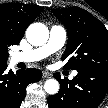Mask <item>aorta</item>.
I'll use <instances>...</instances> for the list:
<instances>
[{"instance_id":"762f6f07","label":"aorta","mask_w":108,"mask_h":108,"mask_svg":"<svg viewBox=\"0 0 108 108\" xmlns=\"http://www.w3.org/2000/svg\"><path fill=\"white\" fill-rule=\"evenodd\" d=\"M26 38L33 46L44 45L49 38V30L42 23H32L26 30ZM44 90L51 95L59 91V83L56 79H48L44 83Z\"/></svg>"}]
</instances>
